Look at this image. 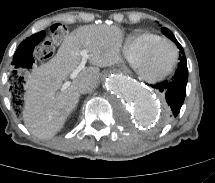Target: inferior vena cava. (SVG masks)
I'll return each instance as SVG.
<instances>
[{
  "label": "inferior vena cava",
  "instance_id": "obj_1",
  "mask_svg": "<svg viewBox=\"0 0 215 183\" xmlns=\"http://www.w3.org/2000/svg\"><path fill=\"white\" fill-rule=\"evenodd\" d=\"M98 83H93L91 81H83L79 84L78 86V90L80 93L82 94H86V93H89V92H92L96 86H97Z\"/></svg>",
  "mask_w": 215,
  "mask_h": 183
}]
</instances>
